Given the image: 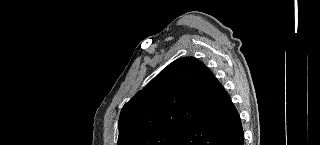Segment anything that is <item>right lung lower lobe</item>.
I'll use <instances>...</instances> for the list:
<instances>
[{
	"label": "right lung lower lobe",
	"instance_id": "right-lung-lower-lobe-1",
	"mask_svg": "<svg viewBox=\"0 0 320 145\" xmlns=\"http://www.w3.org/2000/svg\"><path fill=\"white\" fill-rule=\"evenodd\" d=\"M222 100L209 118L184 128L168 145H243L239 114L222 87Z\"/></svg>",
	"mask_w": 320,
	"mask_h": 145
}]
</instances>
